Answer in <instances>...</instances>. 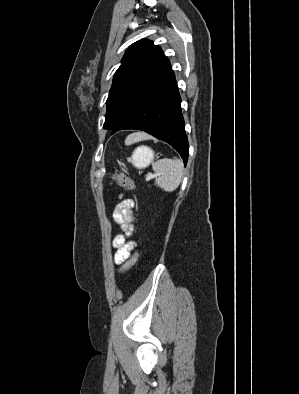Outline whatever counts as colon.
I'll use <instances>...</instances> for the list:
<instances>
[{
    "instance_id": "1",
    "label": "colon",
    "mask_w": 299,
    "mask_h": 394,
    "mask_svg": "<svg viewBox=\"0 0 299 394\" xmlns=\"http://www.w3.org/2000/svg\"><path fill=\"white\" fill-rule=\"evenodd\" d=\"M111 178L113 182L120 187L127 188L130 190L134 188V182L128 176L122 175L120 173H113ZM138 255H139L138 250H135L134 253L128 258V260L124 264L121 270L122 274H125L131 269V267L136 263L138 259Z\"/></svg>"
}]
</instances>
